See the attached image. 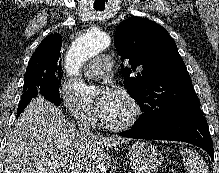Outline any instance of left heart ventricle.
I'll list each match as a JSON object with an SVG mask.
<instances>
[{
  "instance_id": "1",
  "label": "left heart ventricle",
  "mask_w": 219,
  "mask_h": 173,
  "mask_svg": "<svg viewBox=\"0 0 219 173\" xmlns=\"http://www.w3.org/2000/svg\"><path fill=\"white\" fill-rule=\"evenodd\" d=\"M130 114V105L120 95H118L116 102L104 120L106 122L119 123L127 119Z\"/></svg>"
}]
</instances>
